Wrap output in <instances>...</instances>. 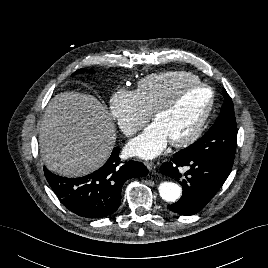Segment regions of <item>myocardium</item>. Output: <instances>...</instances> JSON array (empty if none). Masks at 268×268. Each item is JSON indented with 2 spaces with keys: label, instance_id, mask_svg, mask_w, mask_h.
Wrapping results in <instances>:
<instances>
[{
  "label": "myocardium",
  "instance_id": "f54148a6",
  "mask_svg": "<svg viewBox=\"0 0 268 268\" xmlns=\"http://www.w3.org/2000/svg\"><path fill=\"white\" fill-rule=\"evenodd\" d=\"M190 88H205V89L209 90L210 97H209L207 105L205 106L204 110L202 111V114H201L198 122L191 129V131L189 133H187L181 139L169 141V143L174 147H184V146L191 144L199 136V134L202 132V130L204 129V127L209 119V116H210L212 109H213V106H214L215 94H214L213 89L209 85H207L203 82H200V81L181 85L168 98V100L164 104H162L160 107H158L152 113V119L155 121L159 117L167 114L178 104L181 94Z\"/></svg>",
  "mask_w": 268,
  "mask_h": 268
}]
</instances>
